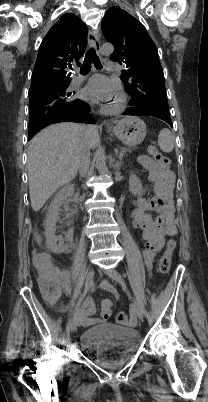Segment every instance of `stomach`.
Wrapping results in <instances>:
<instances>
[{"label": "stomach", "instance_id": "stomach-1", "mask_svg": "<svg viewBox=\"0 0 208 402\" xmlns=\"http://www.w3.org/2000/svg\"><path fill=\"white\" fill-rule=\"evenodd\" d=\"M111 130L121 140L122 144L129 146V148L141 144L146 136V124L136 116H125Z\"/></svg>", "mask_w": 208, "mask_h": 402}]
</instances>
